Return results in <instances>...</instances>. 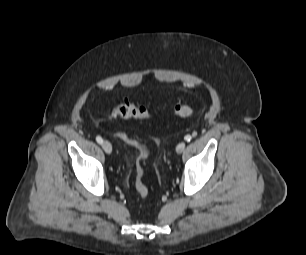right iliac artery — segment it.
<instances>
[{
    "instance_id": "82829eb1",
    "label": "right iliac artery",
    "mask_w": 306,
    "mask_h": 255,
    "mask_svg": "<svg viewBox=\"0 0 306 255\" xmlns=\"http://www.w3.org/2000/svg\"><path fill=\"white\" fill-rule=\"evenodd\" d=\"M96 141H97L99 144H102V143H103V139H102L100 136H97V137H96Z\"/></svg>"
}]
</instances>
